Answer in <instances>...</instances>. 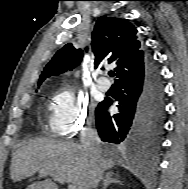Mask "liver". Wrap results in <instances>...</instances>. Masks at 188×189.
Here are the masks:
<instances>
[{
    "label": "liver",
    "instance_id": "1",
    "mask_svg": "<svg viewBox=\"0 0 188 189\" xmlns=\"http://www.w3.org/2000/svg\"><path fill=\"white\" fill-rule=\"evenodd\" d=\"M112 158L102 157L103 172L114 167ZM51 171L72 183L76 189H90L91 160L81 145L69 141L37 138L18 148L12 158L13 182L36 172ZM26 189H58L50 179L30 184Z\"/></svg>",
    "mask_w": 188,
    "mask_h": 189
}]
</instances>
